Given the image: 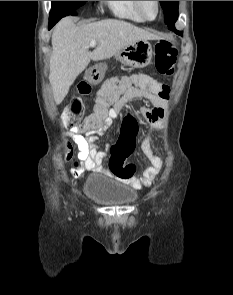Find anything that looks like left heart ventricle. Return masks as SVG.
<instances>
[{
	"instance_id": "obj_1",
	"label": "left heart ventricle",
	"mask_w": 233,
	"mask_h": 295,
	"mask_svg": "<svg viewBox=\"0 0 233 295\" xmlns=\"http://www.w3.org/2000/svg\"><path fill=\"white\" fill-rule=\"evenodd\" d=\"M143 13L148 18H153L156 15L157 7L155 1H141Z\"/></svg>"
}]
</instances>
